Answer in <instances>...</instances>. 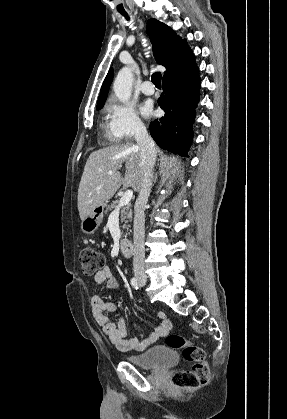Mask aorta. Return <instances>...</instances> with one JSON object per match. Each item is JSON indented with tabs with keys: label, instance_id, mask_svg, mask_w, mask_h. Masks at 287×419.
Listing matches in <instances>:
<instances>
[{
	"label": "aorta",
	"instance_id": "obj_1",
	"mask_svg": "<svg viewBox=\"0 0 287 419\" xmlns=\"http://www.w3.org/2000/svg\"><path fill=\"white\" fill-rule=\"evenodd\" d=\"M132 83L133 74L131 69L129 67H123L118 72L113 83L114 93L120 101L126 102L130 99L132 94Z\"/></svg>",
	"mask_w": 287,
	"mask_h": 419
}]
</instances>
